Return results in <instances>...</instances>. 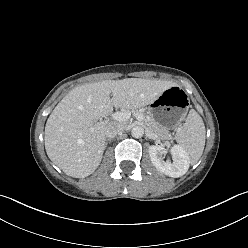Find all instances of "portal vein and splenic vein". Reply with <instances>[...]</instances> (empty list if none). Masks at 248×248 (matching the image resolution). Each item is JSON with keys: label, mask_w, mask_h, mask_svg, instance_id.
<instances>
[{"label": "portal vein and splenic vein", "mask_w": 248, "mask_h": 248, "mask_svg": "<svg viewBox=\"0 0 248 248\" xmlns=\"http://www.w3.org/2000/svg\"><path fill=\"white\" fill-rule=\"evenodd\" d=\"M135 117L137 120H143V116L138 114V113H134ZM131 117V112L127 111V112H116L114 114H112V119L119 121V122H124L127 121L129 118Z\"/></svg>", "instance_id": "1"}]
</instances>
